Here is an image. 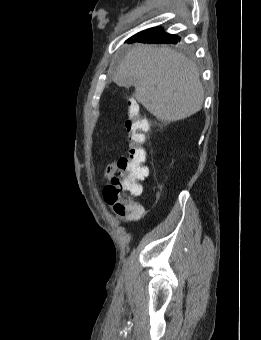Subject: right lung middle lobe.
<instances>
[{"instance_id": "right-lung-middle-lobe-1", "label": "right lung middle lobe", "mask_w": 261, "mask_h": 340, "mask_svg": "<svg viewBox=\"0 0 261 340\" xmlns=\"http://www.w3.org/2000/svg\"><path fill=\"white\" fill-rule=\"evenodd\" d=\"M179 40H180V38L178 36L174 35L173 38L170 41H168L167 43L176 44Z\"/></svg>"}]
</instances>
